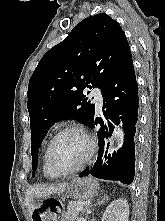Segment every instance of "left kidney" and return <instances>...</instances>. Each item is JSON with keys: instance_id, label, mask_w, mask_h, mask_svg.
Listing matches in <instances>:
<instances>
[{"instance_id": "1", "label": "left kidney", "mask_w": 165, "mask_h": 221, "mask_svg": "<svg viewBox=\"0 0 165 221\" xmlns=\"http://www.w3.org/2000/svg\"><path fill=\"white\" fill-rule=\"evenodd\" d=\"M129 206L121 198L114 200L103 214L102 221H128Z\"/></svg>"}]
</instances>
